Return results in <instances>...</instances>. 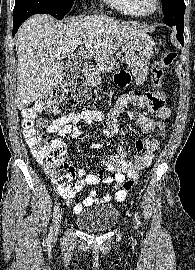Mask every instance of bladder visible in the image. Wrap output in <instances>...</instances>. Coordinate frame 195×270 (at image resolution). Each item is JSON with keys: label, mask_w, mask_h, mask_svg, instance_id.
<instances>
[{"label": "bladder", "mask_w": 195, "mask_h": 270, "mask_svg": "<svg viewBox=\"0 0 195 270\" xmlns=\"http://www.w3.org/2000/svg\"><path fill=\"white\" fill-rule=\"evenodd\" d=\"M119 218L116 207L106 204L88 208L80 212L76 225L88 233H103L115 226Z\"/></svg>", "instance_id": "obj_1"}]
</instances>
